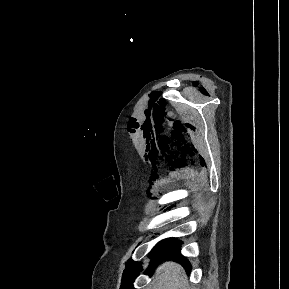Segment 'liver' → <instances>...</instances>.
<instances>
[{
    "label": "liver",
    "mask_w": 289,
    "mask_h": 289,
    "mask_svg": "<svg viewBox=\"0 0 289 289\" xmlns=\"http://www.w3.org/2000/svg\"><path fill=\"white\" fill-rule=\"evenodd\" d=\"M184 269L176 262L167 261L160 265L153 281V289H190L186 283Z\"/></svg>",
    "instance_id": "6515ba94"
}]
</instances>
